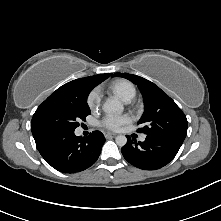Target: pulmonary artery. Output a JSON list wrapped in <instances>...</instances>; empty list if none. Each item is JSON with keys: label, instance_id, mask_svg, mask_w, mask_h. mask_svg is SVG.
I'll list each match as a JSON object with an SVG mask.
<instances>
[{"label": "pulmonary artery", "instance_id": "obj_1", "mask_svg": "<svg viewBox=\"0 0 221 221\" xmlns=\"http://www.w3.org/2000/svg\"><path fill=\"white\" fill-rule=\"evenodd\" d=\"M145 139H146V136H145V135H142V136L140 137V141H145Z\"/></svg>", "mask_w": 221, "mask_h": 221}]
</instances>
